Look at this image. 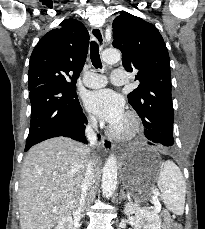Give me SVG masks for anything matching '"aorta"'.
Masks as SVG:
<instances>
[{
	"label": "aorta",
	"instance_id": "762f6f07",
	"mask_svg": "<svg viewBox=\"0 0 205 229\" xmlns=\"http://www.w3.org/2000/svg\"><path fill=\"white\" fill-rule=\"evenodd\" d=\"M121 59V53L117 49H106L102 53V60L107 64H114ZM117 186V159L114 154L108 156L102 173V192L104 197L109 198Z\"/></svg>",
	"mask_w": 205,
	"mask_h": 229
}]
</instances>
